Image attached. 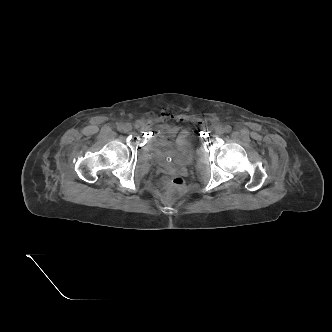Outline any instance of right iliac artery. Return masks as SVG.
<instances>
[{"instance_id": "right-iliac-artery-1", "label": "right iliac artery", "mask_w": 332, "mask_h": 332, "mask_svg": "<svg viewBox=\"0 0 332 332\" xmlns=\"http://www.w3.org/2000/svg\"><path fill=\"white\" fill-rule=\"evenodd\" d=\"M122 128H123V124H122V123H119V124L117 125V129H118V130H122Z\"/></svg>"}]
</instances>
